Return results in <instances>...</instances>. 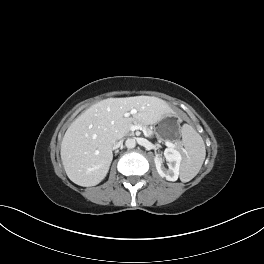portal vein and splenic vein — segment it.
<instances>
[{
    "mask_svg": "<svg viewBox=\"0 0 264 264\" xmlns=\"http://www.w3.org/2000/svg\"><path fill=\"white\" fill-rule=\"evenodd\" d=\"M130 114H132V115H133V114H136V110H135V109L131 110ZM128 115H129V113H126V114H125V116H128ZM130 129H131L132 131H135V130H137V129H140V130L143 131V133H144L145 136H148V133H147L146 129L143 128V127H141L140 125H132ZM164 143H165V145L168 146V147H171V148L174 147V144H173L172 142H170L169 140H165Z\"/></svg>",
    "mask_w": 264,
    "mask_h": 264,
    "instance_id": "portal-vein-and-splenic-vein-1",
    "label": "portal vein and splenic vein"
}]
</instances>
